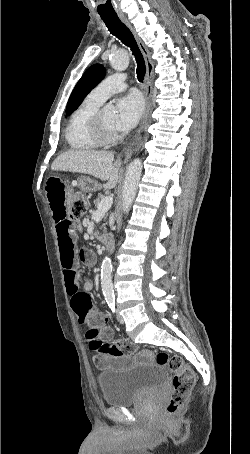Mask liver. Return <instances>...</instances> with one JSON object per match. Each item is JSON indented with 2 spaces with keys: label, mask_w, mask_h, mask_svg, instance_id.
I'll list each match as a JSON object with an SVG mask.
<instances>
[{
  "label": "liver",
  "mask_w": 250,
  "mask_h": 454,
  "mask_svg": "<svg viewBox=\"0 0 250 454\" xmlns=\"http://www.w3.org/2000/svg\"><path fill=\"white\" fill-rule=\"evenodd\" d=\"M51 170L88 174L107 181L104 188L113 189L119 180L120 161L109 151L69 150L53 161Z\"/></svg>",
  "instance_id": "1"
}]
</instances>
